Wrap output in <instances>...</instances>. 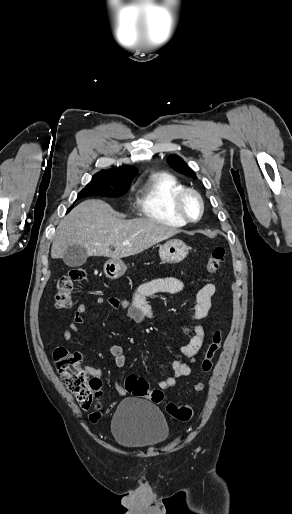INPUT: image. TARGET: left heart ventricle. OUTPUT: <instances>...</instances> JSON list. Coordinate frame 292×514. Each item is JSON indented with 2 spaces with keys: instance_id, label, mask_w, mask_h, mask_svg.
I'll use <instances>...</instances> for the list:
<instances>
[{
  "instance_id": "b2bd125f",
  "label": "left heart ventricle",
  "mask_w": 292,
  "mask_h": 514,
  "mask_svg": "<svg viewBox=\"0 0 292 514\" xmlns=\"http://www.w3.org/2000/svg\"><path fill=\"white\" fill-rule=\"evenodd\" d=\"M183 211L191 218L198 216L199 208L196 199L192 195H187L182 201Z\"/></svg>"
}]
</instances>
